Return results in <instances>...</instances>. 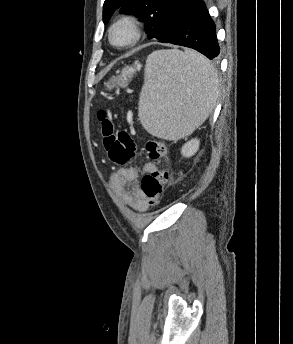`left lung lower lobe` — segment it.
Listing matches in <instances>:
<instances>
[{"label":"left lung lower lobe","instance_id":"left-lung-lower-lobe-1","mask_svg":"<svg viewBox=\"0 0 293 344\" xmlns=\"http://www.w3.org/2000/svg\"><path fill=\"white\" fill-rule=\"evenodd\" d=\"M159 42L195 49L211 60L220 53L215 24L202 0H192L176 26Z\"/></svg>","mask_w":293,"mask_h":344}]
</instances>
